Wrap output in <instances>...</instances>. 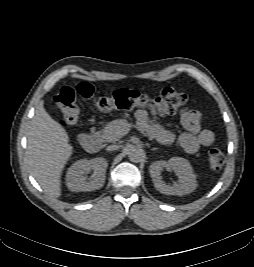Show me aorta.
I'll list each match as a JSON object with an SVG mask.
<instances>
[{
  "label": "aorta",
  "instance_id": "1",
  "mask_svg": "<svg viewBox=\"0 0 254 267\" xmlns=\"http://www.w3.org/2000/svg\"><path fill=\"white\" fill-rule=\"evenodd\" d=\"M128 157H129L131 162L138 163V162L142 161V159L144 157V153L141 149H139L135 146H130L128 148Z\"/></svg>",
  "mask_w": 254,
  "mask_h": 267
}]
</instances>
